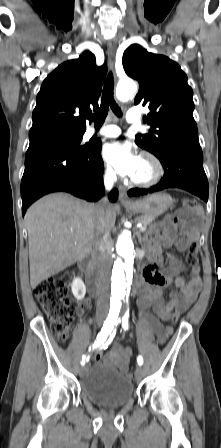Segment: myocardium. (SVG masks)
<instances>
[{
    "label": "myocardium",
    "instance_id": "f54148a6",
    "mask_svg": "<svg viewBox=\"0 0 221 448\" xmlns=\"http://www.w3.org/2000/svg\"><path fill=\"white\" fill-rule=\"evenodd\" d=\"M141 160L150 164L151 174L146 178H132L131 183L141 187H150L160 182L165 174V167L159 157L152 152L145 151L141 154Z\"/></svg>",
    "mask_w": 221,
    "mask_h": 448
}]
</instances>
